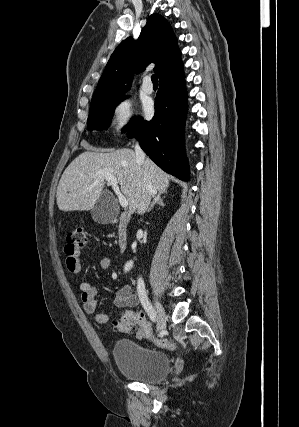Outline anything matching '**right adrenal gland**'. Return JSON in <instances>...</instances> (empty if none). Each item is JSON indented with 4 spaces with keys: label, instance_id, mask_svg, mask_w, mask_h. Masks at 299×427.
I'll return each mask as SVG.
<instances>
[{
    "label": "right adrenal gland",
    "instance_id": "obj_1",
    "mask_svg": "<svg viewBox=\"0 0 299 427\" xmlns=\"http://www.w3.org/2000/svg\"><path fill=\"white\" fill-rule=\"evenodd\" d=\"M164 193H167L166 191L165 192H158L155 196H154V199H153V202H152V204L150 205V207L148 208V210H147V212H150L153 208H154V206L157 204V205H159V206H165V204H164V201H163V198L161 197V195L162 194H164Z\"/></svg>",
    "mask_w": 299,
    "mask_h": 427
}]
</instances>
